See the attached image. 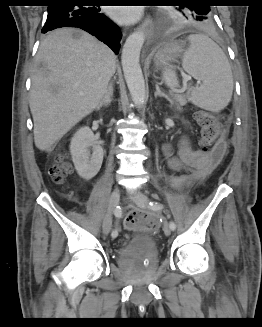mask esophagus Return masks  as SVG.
<instances>
[{
    "mask_svg": "<svg viewBox=\"0 0 262 327\" xmlns=\"http://www.w3.org/2000/svg\"><path fill=\"white\" fill-rule=\"evenodd\" d=\"M155 27V23L151 16H147L140 24V28L145 30L148 38L151 36Z\"/></svg>",
    "mask_w": 262,
    "mask_h": 327,
    "instance_id": "obj_1",
    "label": "esophagus"
}]
</instances>
